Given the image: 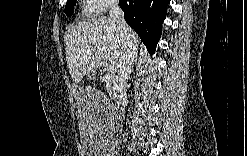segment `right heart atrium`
Listing matches in <instances>:
<instances>
[{"mask_svg":"<svg viewBox=\"0 0 247 156\" xmlns=\"http://www.w3.org/2000/svg\"><path fill=\"white\" fill-rule=\"evenodd\" d=\"M90 4H92L95 7L96 13H102L112 7L115 2L112 0H94L91 1Z\"/></svg>","mask_w":247,"mask_h":156,"instance_id":"obj_1","label":"right heart atrium"}]
</instances>
